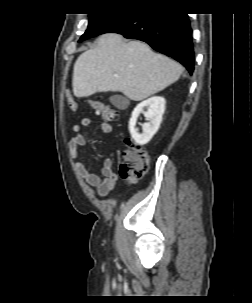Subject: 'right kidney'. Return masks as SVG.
Instances as JSON below:
<instances>
[{"instance_id":"right-kidney-1","label":"right kidney","mask_w":252,"mask_h":303,"mask_svg":"<svg viewBox=\"0 0 252 303\" xmlns=\"http://www.w3.org/2000/svg\"><path fill=\"white\" fill-rule=\"evenodd\" d=\"M147 109V111H144ZM165 111V99L161 96L151 97L138 104L132 112L129 121V131L134 141L139 145L147 144L158 131ZM143 113L149 122L142 125V133L138 132L136 122Z\"/></svg>"}]
</instances>
